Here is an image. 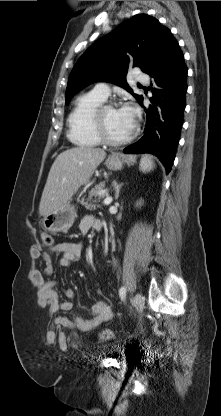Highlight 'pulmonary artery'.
<instances>
[{
    "label": "pulmonary artery",
    "instance_id": "e3ab8cb5",
    "mask_svg": "<svg viewBox=\"0 0 221 416\" xmlns=\"http://www.w3.org/2000/svg\"><path fill=\"white\" fill-rule=\"evenodd\" d=\"M136 73H137L136 80L138 82H140V83L148 82V76L147 75L141 74L139 72H136ZM93 91L95 93H97L98 95L104 97V98H107L110 95V89H109L108 85L106 83H103V82L102 83H97L94 86Z\"/></svg>",
    "mask_w": 221,
    "mask_h": 416
}]
</instances>
